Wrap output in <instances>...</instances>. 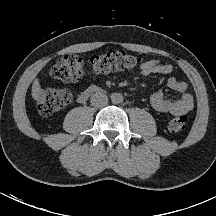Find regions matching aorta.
<instances>
[{
  "mask_svg": "<svg viewBox=\"0 0 216 216\" xmlns=\"http://www.w3.org/2000/svg\"><path fill=\"white\" fill-rule=\"evenodd\" d=\"M111 100H112V102H113L114 104H120V103L123 102L124 97H123V95L120 94V93H113V94L111 95Z\"/></svg>",
  "mask_w": 216,
  "mask_h": 216,
  "instance_id": "obj_1",
  "label": "aorta"
}]
</instances>
